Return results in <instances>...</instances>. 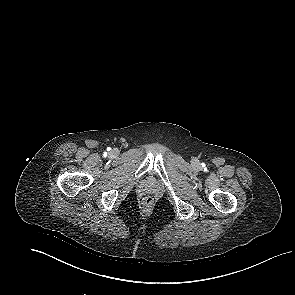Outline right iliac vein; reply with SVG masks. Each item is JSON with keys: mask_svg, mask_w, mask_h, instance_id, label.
Segmentation results:
<instances>
[{"mask_svg": "<svg viewBox=\"0 0 295 295\" xmlns=\"http://www.w3.org/2000/svg\"><path fill=\"white\" fill-rule=\"evenodd\" d=\"M115 155H116V151H115V150H112V151L110 152V156L114 157Z\"/></svg>", "mask_w": 295, "mask_h": 295, "instance_id": "right-iliac-vein-1", "label": "right iliac vein"}]
</instances>
